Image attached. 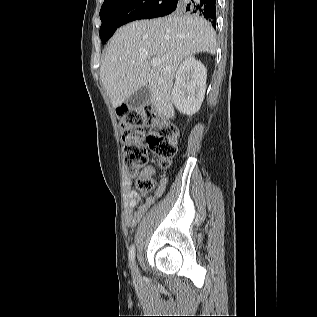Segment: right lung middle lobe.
<instances>
[{
    "label": "right lung middle lobe",
    "instance_id": "1",
    "mask_svg": "<svg viewBox=\"0 0 317 317\" xmlns=\"http://www.w3.org/2000/svg\"><path fill=\"white\" fill-rule=\"evenodd\" d=\"M171 0H105L101 10L100 38L105 43L118 27L139 19H150L184 10V1L167 5ZM167 5V6H166Z\"/></svg>",
    "mask_w": 317,
    "mask_h": 317
}]
</instances>
